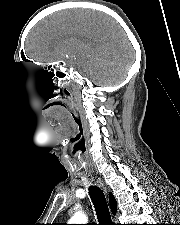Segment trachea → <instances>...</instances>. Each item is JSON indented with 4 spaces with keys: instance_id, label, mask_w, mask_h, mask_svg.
I'll list each match as a JSON object with an SVG mask.
<instances>
[{
    "instance_id": "3493384b",
    "label": "trachea",
    "mask_w": 180,
    "mask_h": 225,
    "mask_svg": "<svg viewBox=\"0 0 180 225\" xmlns=\"http://www.w3.org/2000/svg\"><path fill=\"white\" fill-rule=\"evenodd\" d=\"M89 195L93 202L100 225H113L108 204L103 191L97 186L89 187Z\"/></svg>"
}]
</instances>
